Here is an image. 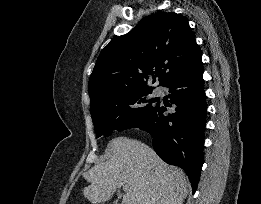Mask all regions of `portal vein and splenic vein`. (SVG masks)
Instances as JSON below:
<instances>
[{"mask_svg":"<svg viewBox=\"0 0 261 204\" xmlns=\"http://www.w3.org/2000/svg\"><path fill=\"white\" fill-rule=\"evenodd\" d=\"M122 188H123L124 191H127V190H128V186H127V185H123Z\"/></svg>","mask_w":261,"mask_h":204,"instance_id":"portal-vein-and-splenic-vein-1","label":"portal vein and splenic vein"}]
</instances>
